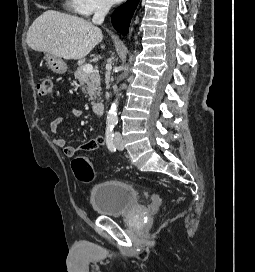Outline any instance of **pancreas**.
Instances as JSON below:
<instances>
[{
    "instance_id": "1",
    "label": "pancreas",
    "mask_w": 255,
    "mask_h": 272,
    "mask_svg": "<svg viewBox=\"0 0 255 272\" xmlns=\"http://www.w3.org/2000/svg\"><path fill=\"white\" fill-rule=\"evenodd\" d=\"M84 66L80 65L74 73V77L79 81L82 91L86 94L89 100H96L101 93V82L98 71L91 73L84 72Z\"/></svg>"
}]
</instances>
